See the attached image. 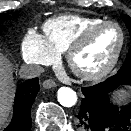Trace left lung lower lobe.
<instances>
[{
	"label": "left lung lower lobe",
	"mask_w": 131,
	"mask_h": 131,
	"mask_svg": "<svg viewBox=\"0 0 131 131\" xmlns=\"http://www.w3.org/2000/svg\"><path fill=\"white\" fill-rule=\"evenodd\" d=\"M119 87H131V70L82 88L84 98L75 119L78 131H131V102L118 104L110 99Z\"/></svg>",
	"instance_id": "left-lung-lower-lobe-1"
}]
</instances>
